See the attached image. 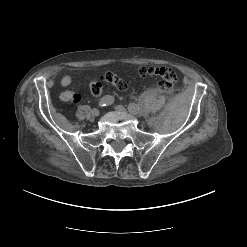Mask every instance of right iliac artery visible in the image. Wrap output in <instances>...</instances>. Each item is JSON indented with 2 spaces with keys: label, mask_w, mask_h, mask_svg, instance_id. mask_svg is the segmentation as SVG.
<instances>
[{
  "label": "right iliac artery",
  "mask_w": 247,
  "mask_h": 247,
  "mask_svg": "<svg viewBox=\"0 0 247 247\" xmlns=\"http://www.w3.org/2000/svg\"><path fill=\"white\" fill-rule=\"evenodd\" d=\"M114 102V97L110 96V95H106L104 97H102L99 101V106L100 107H105V106H109Z\"/></svg>",
  "instance_id": "82829eb1"
}]
</instances>
